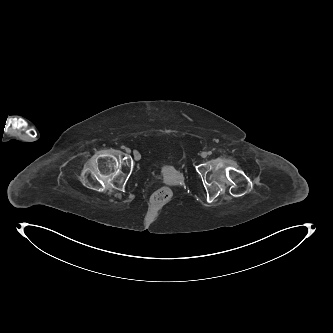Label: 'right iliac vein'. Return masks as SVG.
Wrapping results in <instances>:
<instances>
[{"mask_svg":"<svg viewBox=\"0 0 333 333\" xmlns=\"http://www.w3.org/2000/svg\"><path fill=\"white\" fill-rule=\"evenodd\" d=\"M126 152H127V153H130L131 150H130L129 148H126ZM140 157H141L140 153H139L138 151H134V158H135L136 160H139Z\"/></svg>","mask_w":333,"mask_h":333,"instance_id":"right-iliac-vein-1","label":"right iliac vein"}]
</instances>
